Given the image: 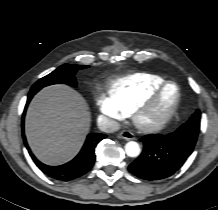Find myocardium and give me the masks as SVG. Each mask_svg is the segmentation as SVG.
<instances>
[{
    "label": "myocardium",
    "instance_id": "1",
    "mask_svg": "<svg viewBox=\"0 0 218 210\" xmlns=\"http://www.w3.org/2000/svg\"><path fill=\"white\" fill-rule=\"evenodd\" d=\"M174 85L177 88V97L167 114L158 121L145 122L144 117L147 112L155 105L163 91L169 86ZM182 102V89L175 81H164L159 85L144 101H142L132 111V119L136 128L143 133L158 132L167 127L175 118Z\"/></svg>",
    "mask_w": 218,
    "mask_h": 210
}]
</instances>
